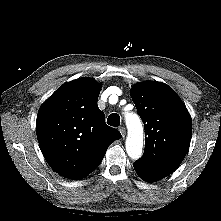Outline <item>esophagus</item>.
Segmentation results:
<instances>
[{
	"label": "esophagus",
	"mask_w": 221,
	"mask_h": 221,
	"mask_svg": "<svg viewBox=\"0 0 221 221\" xmlns=\"http://www.w3.org/2000/svg\"><path fill=\"white\" fill-rule=\"evenodd\" d=\"M119 131L122 135V138H124L126 135V128L124 126H121V127H119Z\"/></svg>",
	"instance_id": "obj_1"
}]
</instances>
